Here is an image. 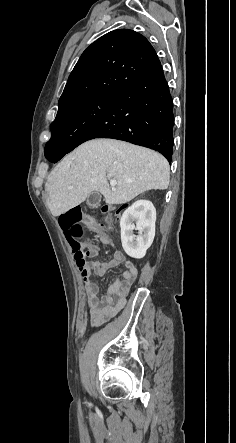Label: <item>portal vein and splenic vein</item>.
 <instances>
[{
  "instance_id": "obj_1",
  "label": "portal vein and splenic vein",
  "mask_w": 236,
  "mask_h": 443,
  "mask_svg": "<svg viewBox=\"0 0 236 443\" xmlns=\"http://www.w3.org/2000/svg\"><path fill=\"white\" fill-rule=\"evenodd\" d=\"M110 185H111L112 189L114 190L115 186H116V181L115 180H110Z\"/></svg>"
}]
</instances>
